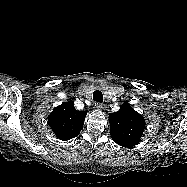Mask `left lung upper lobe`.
I'll return each mask as SVG.
<instances>
[{
    "label": "left lung upper lobe",
    "mask_w": 187,
    "mask_h": 187,
    "mask_svg": "<svg viewBox=\"0 0 187 187\" xmlns=\"http://www.w3.org/2000/svg\"><path fill=\"white\" fill-rule=\"evenodd\" d=\"M112 140L120 146L132 147L140 142L145 129V120L128 102L119 111L109 114Z\"/></svg>",
    "instance_id": "5c2ea615"
}]
</instances>
